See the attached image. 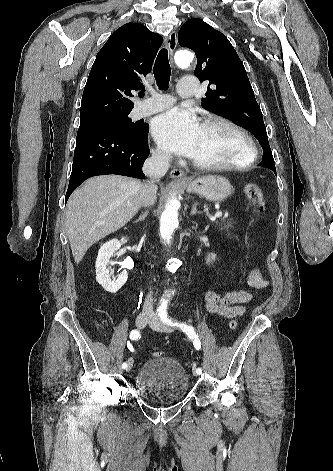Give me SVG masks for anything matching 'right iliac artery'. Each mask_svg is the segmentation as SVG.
<instances>
[{
  "instance_id": "1",
  "label": "right iliac artery",
  "mask_w": 333,
  "mask_h": 471,
  "mask_svg": "<svg viewBox=\"0 0 333 471\" xmlns=\"http://www.w3.org/2000/svg\"><path fill=\"white\" fill-rule=\"evenodd\" d=\"M139 338H140V332H139V330L134 329V330H132V331L130 332V339H132V340H138ZM127 366H128V364H127L126 362H124V363L122 364V368H123V369H126Z\"/></svg>"
}]
</instances>
